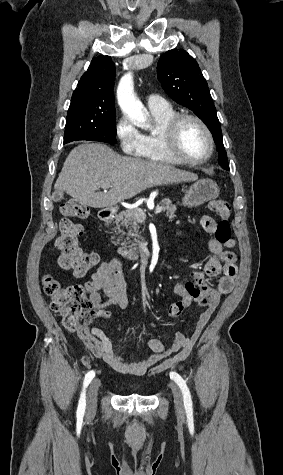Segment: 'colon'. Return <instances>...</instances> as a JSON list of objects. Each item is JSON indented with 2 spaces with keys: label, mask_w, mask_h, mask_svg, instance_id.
<instances>
[{
  "label": "colon",
  "mask_w": 283,
  "mask_h": 475,
  "mask_svg": "<svg viewBox=\"0 0 283 475\" xmlns=\"http://www.w3.org/2000/svg\"><path fill=\"white\" fill-rule=\"evenodd\" d=\"M209 206L218 217L215 228L219 225L224 228L221 232L216 229L215 238L220 243L229 242L231 209L228 201L224 198L214 199ZM61 214L63 216L60 223L61 233L56 241L57 249L60 251L58 262L62 269L71 271L75 277H84L98 261L95 254L85 252L78 244V239L82 235V226L76 219H86L89 209L85 204L69 199L62 204ZM42 284L51 298V308L61 317L64 328L72 333L77 332L82 325V317L89 309V300L84 288L78 284L63 285L50 275L43 277ZM184 286L189 295H185L179 303L170 305L168 308L170 318H175L182 309H188L193 298L196 299L199 296V289L193 286L192 281H185Z\"/></svg>",
  "instance_id": "1"
}]
</instances>
